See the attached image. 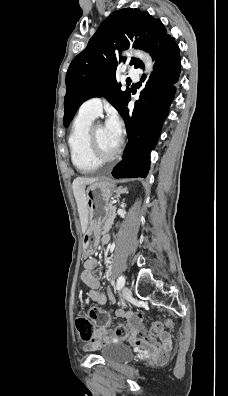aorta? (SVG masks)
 I'll list each match as a JSON object with an SVG mask.
<instances>
[{
  "mask_svg": "<svg viewBox=\"0 0 228 396\" xmlns=\"http://www.w3.org/2000/svg\"><path fill=\"white\" fill-rule=\"evenodd\" d=\"M126 54L129 55V53H126ZM132 54L144 62L146 71L148 73L152 70L153 62H152L151 57L148 54H146L142 51H138V50L134 51Z\"/></svg>",
  "mask_w": 228,
  "mask_h": 396,
  "instance_id": "1",
  "label": "aorta"
}]
</instances>
